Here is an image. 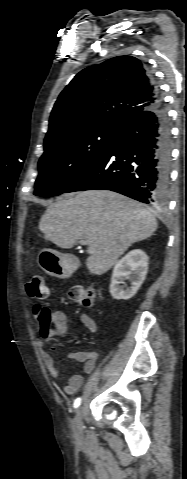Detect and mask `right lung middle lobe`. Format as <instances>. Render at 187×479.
Masks as SVG:
<instances>
[{
	"mask_svg": "<svg viewBox=\"0 0 187 479\" xmlns=\"http://www.w3.org/2000/svg\"><path fill=\"white\" fill-rule=\"evenodd\" d=\"M119 131L110 127H92L44 144L34 194L52 197L64 193L108 149Z\"/></svg>",
	"mask_w": 187,
	"mask_h": 479,
	"instance_id": "obj_1",
	"label": "right lung middle lobe"
}]
</instances>
